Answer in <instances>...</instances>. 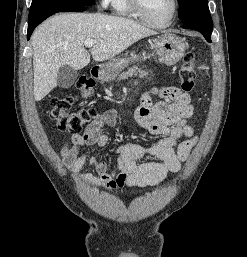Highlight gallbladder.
Instances as JSON below:
<instances>
[{
    "instance_id": "bac80fb5",
    "label": "gallbladder",
    "mask_w": 247,
    "mask_h": 257,
    "mask_svg": "<svg viewBox=\"0 0 247 257\" xmlns=\"http://www.w3.org/2000/svg\"><path fill=\"white\" fill-rule=\"evenodd\" d=\"M78 71L68 65L60 67L57 73V85L60 88L71 87L78 78Z\"/></svg>"
}]
</instances>
